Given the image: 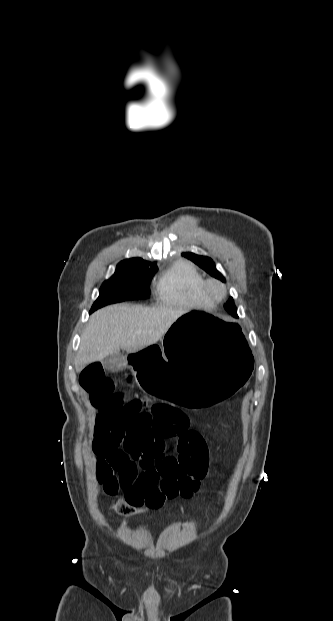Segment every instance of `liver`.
<instances>
[{
    "label": "liver",
    "mask_w": 333,
    "mask_h": 621,
    "mask_svg": "<svg viewBox=\"0 0 333 621\" xmlns=\"http://www.w3.org/2000/svg\"><path fill=\"white\" fill-rule=\"evenodd\" d=\"M182 309L117 304L95 312L82 335L76 367L101 361L120 349L137 352L164 336Z\"/></svg>",
    "instance_id": "6515ba94"
}]
</instances>
